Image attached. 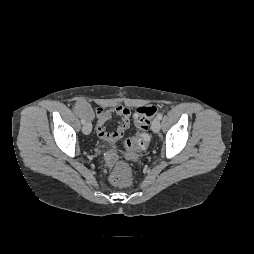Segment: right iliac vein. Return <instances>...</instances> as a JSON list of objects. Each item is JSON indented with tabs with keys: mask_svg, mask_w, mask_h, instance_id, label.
Returning <instances> with one entry per match:
<instances>
[{
	"mask_svg": "<svg viewBox=\"0 0 254 254\" xmlns=\"http://www.w3.org/2000/svg\"><path fill=\"white\" fill-rule=\"evenodd\" d=\"M92 130V125L90 122H85L83 127H82V131L84 134L88 135L91 133Z\"/></svg>",
	"mask_w": 254,
	"mask_h": 254,
	"instance_id": "obj_1",
	"label": "right iliac vein"
}]
</instances>
